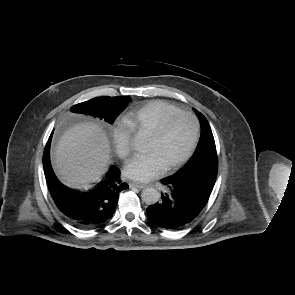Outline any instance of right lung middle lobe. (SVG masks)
Segmentation results:
<instances>
[{"instance_id": "1", "label": "right lung middle lobe", "mask_w": 295, "mask_h": 295, "mask_svg": "<svg viewBox=\"0 0 295 295\" xmlns=\"http://www.w3.org/2000/svg\"><path fill=\"white\" fill-rule=\"evenodd\" d=\"M131 98L128 96L96 97L71 108L72 112L88 114L108 123H113L117 116L126 108ZM44 166L50 165L49 155L43 161Z\"/></svg>"}]
</instances>
